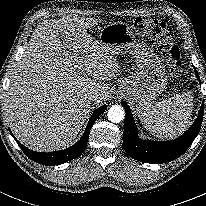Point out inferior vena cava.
Wrapping results in <instances>:
<instances>
[{
    "label": "inferior vena cava",
    "mask_w": 206,
    "mask_h": 206,
    "mask_svg": "<svg viewBox=\"0 0 206 206\" xmlns=\"http://www.w3.org/2000/svg\"><path fill=\"white\" fill-rule=\"evenodd\" d=\"M89 99L92 102L98 101L100 99V95L97 93H91L89 94Z\"/></svg>",
    "instance_id": "602c4592"
}]
</instances>
